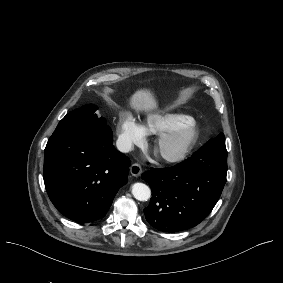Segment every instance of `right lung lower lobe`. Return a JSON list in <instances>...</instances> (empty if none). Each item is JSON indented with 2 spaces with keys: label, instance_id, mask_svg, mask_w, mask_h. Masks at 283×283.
<instances>
[{
  "label": "right lung lower lobe",
  "instance_id": "right-lung-lower-lobe-1",
  "mask_svg": "<svg viewBox=\"0 0 283 283\" xmlns=\"http://www.w3.org/2000/svg\"><path fill=\"white\" fill-rule=\"evenodd\" d=\"M110 127L58 126L44 151L43 178L57 210L88 223L104 217L128 181L130 159L113 146Z\"/></svg>",
  "mask_w": 283,
  "mask_h": 283
}]
</instances>
